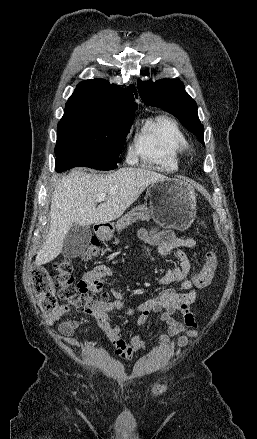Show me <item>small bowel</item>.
<instances>
[{
	"instance_id": "1",
	"label": "small bowel",
	"mask_w": 257,
	"mask_h": 439,
	"mask_svg": "<svg viewBox=\"0 0 257 439\" xmlns=\"http://www.w3.org/2000/svg\"><path fill=\"white\" fill-rule=\"evenodd\" d=\"M139 238L148 245L156 247L157 253L165 258L175 259L178 264H171L169 269L160 279V283L168 286L180 283L181 291L173 288H165L156 297L150 298L136 307H128L124 303L121 292L112 290L115 299L105 304L100 311L91 313L98 328L106 335L115 349V354L124 361H130L139 352L145 349V344L139 334L135 333L130 339H125L122 329L111 320V313L121 311L132 318L136 327H141L153 313H161L160 321L167 327V332L158 336L156 355L161 357L170 345V338L178 336L177 346L182 349L188 346L196 336V322L189 311L190 305L196 299L198 288L191 279V261L184 248L190 249L196 246L193 238L178 237L172 230L141 229ZM111 275V270L106 265H98L85 273L79 282L82 288L93 292L103 291V281ZM69 305H61L56 312L47 318L48 324H53L63 315L69 313ZM183 315L184 322L177 321L173 315ZM79 322L74 319L62 321L59 324V332L65 337L69 345L82 348L83 345L73 334Z\"/></svg>"
}]
</instances>
